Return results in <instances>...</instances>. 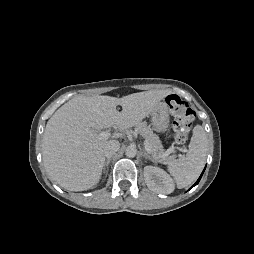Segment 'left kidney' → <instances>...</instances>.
I'll return each instance as SVG.
<instances>
[{
  "instance_id": "left-kidney-1",
  "label": "left kidney",
  "mask_w": 254,
  "mask_h": 254,
  "mask_svg": "<svg viewBox=\"0 0 254 254\" xmlns=\"http://www.w3.org/2000/svg\"><path fill=\"white\" fill-rule=\"evenodd\" d=\"M144 179L147 187L159 194H170L175 189L173 179L170 175L158 167L145 166Z\"/></svg>"
}]
</instances>
